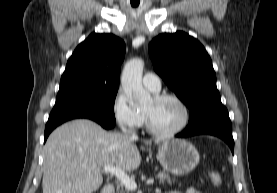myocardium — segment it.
Returning <instances> with one entry per match:
<instances>
[{"instance_id": "obj_1", "label": "myocardium", "mask_w": 277, "mask_h": 193, "mask_svg": "<svg viewBox=\"0 0 277 193\" xmlns=\"http://www.w3.org/2000/svg\"><path fill=\"white\" fill-rule=\"evenodd\" d=\"M152 98L155 102H160L165 99L174 100L182 108L184 116H183L182 123L177 128L170 130V131H162V130L157 129L154 126L150 115L146 111L143 110L142 113H143L145 125H146L147 130L151 134L158 136V137H163V138L174 137L177 134L181 133L188 126L189 121H190V111H189L187 104L181 97H179L178 95H176L174 93H158V94H154Z\"/></svg>"}]
</instances>
